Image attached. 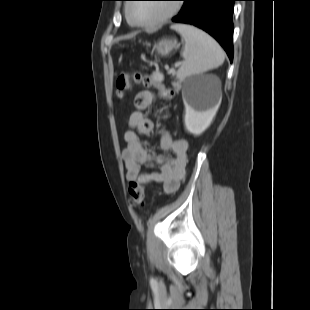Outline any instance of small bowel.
<instances>
[{
	"label": "small bowel",
	"mask_w": 310,
	"mask_h": 310,
	"mask_svg": "<svg viewBox=\"0 0 310 310\" xmlns=\"http://www.w3.org/2000/svg\"><path fill=\"white\" fill-rule=\"evenodd\" d=\"M154 100L155 94L149 90L139 91L135 96V110L128 117L131 129L124 133L126 147L122 151V159L125 178L129 183H160L165 194H172L186 175L188 143L184 139L174 140L170 133L165 132L159 146L161 150L170 152V156L153 155L144 147L140 135H149L153 130V122L146 116V111ZM143 167H158V170L144 172Z\"/></svg>",
	"instance_id": "1"
}]
</instances>
